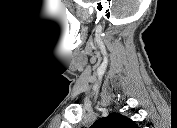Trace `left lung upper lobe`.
I'll return each mask as SVG.
<instances>
[{
	"label": "left lung upper lobe",
	"mask_w": 177,
	"mask_h": 128,
	"mask_svg": "<svg viewBox=\"0 0 177 128\" xmlns=\"http://www.w3.org/2000/svg\"><path fill=\"white\" fill-rule=\"evenodd\" d=\"M94 128H136L135 123L119 113H111L107 117L97 120Z\"/></svg>",
	"instance_id": "5c2ea615"
}]
</instances>
